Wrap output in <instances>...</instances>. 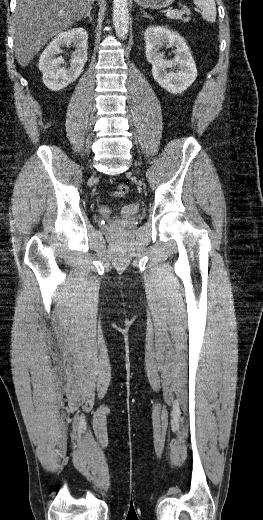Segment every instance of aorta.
Returning a JSON list of instances; mask_svg holds the SVG:
<instances>
[{"instance_id":"aorta-1","label":"aorta","mask_w":263,"mask_h":520,"mask_svg":"<svg viewBox=\"0 0 263 520\" xmlns=\"http://www.w3.org/2000/svg\"><path fill=\"white\" fill-rule=\"evenodd\" d=\"M113 24L117 36L126 38L129 28L128 0H113Z\"/></svg>"}]
</instances>
